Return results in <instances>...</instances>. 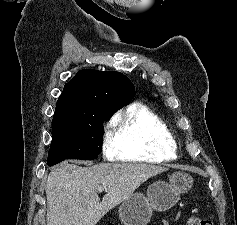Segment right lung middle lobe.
Segmentation results:
<instances>
[{"label":"right lung middle lobe","mask_w":237,"mask_h":225,"mask_svg":"<svg viewBox=\"0 0 237 225\" xmlns=\"http://www.w3.org/2000/svg\"><path fill=\"white\" fill-rule=\"evenodd\" d=\"M113 114L102 111L91 121L53 119L48 159H96L102 150L103 122Z\"/></svg>","instance_id":"dd1d6c3e"}]
</instances>
